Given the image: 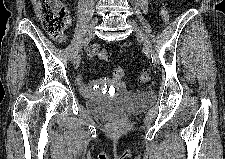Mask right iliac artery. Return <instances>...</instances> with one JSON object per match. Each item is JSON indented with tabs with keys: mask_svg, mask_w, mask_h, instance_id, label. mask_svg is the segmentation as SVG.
<instances>
[{
	"mask_svg": "<svg viewBox=\"0 0 225 159\" xmlns=\"http://www.w3.org/2000/svg\"><path fill=\"white\" fill-rule=\"evenodd\" d=\"M90 41V38H85L81 41L80 45L76 48L73 57H75L78 54V51L82 48V46H86Z\"/></svg>",
	"mask_w": 225,
	"mask_h": 159,
	"instance_id": "82829eb1",
	"label": "right iliac artery"
}]
</instances>
